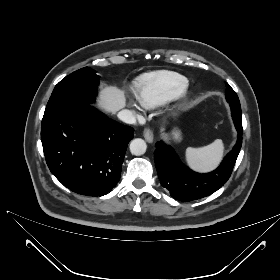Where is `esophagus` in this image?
Masks as SVG:
<instances>
[{
	"label": "esophagus",
	"mask_w": 280,
	"mask_h": 280,
	"mask_svg": "<svg viewBox=\"0 0 280 280\" xmlns=\"http://www.w3.org/2000/svg\"><path fill=\"white\" fill-rule=\"evenodd\" d=\"M143 136L148 143H152L154 139L153 131L150 128H145Z\"/></svg>",
	"instance_id": "obj_1"
}]
</instances>
